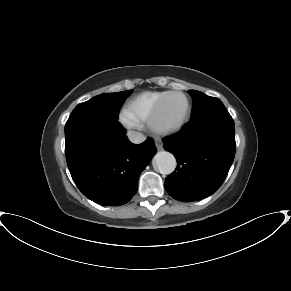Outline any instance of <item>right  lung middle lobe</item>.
I'll return each mask as SVG.
<instances>
[{"label":"right lung middle lobe","instance_id":"dd1d6c3e","mask_svg":"<svg viewBox=\"0 0 291 291\" xmlns=\"http://www.w3.org/2000/svg\"><path fill=\"white\" fill-rule=\"evenodd\" d=\"M132 90L98 95L78 104L70 116L78 114L103 116L118 120L119 109Z\"/></svg>","mask_w":291,"mask_h":291}]
</instances>
